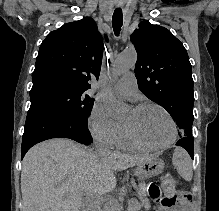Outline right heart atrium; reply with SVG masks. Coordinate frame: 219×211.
Masks as SVG:
<instances>
[{"label":"right heart atrium","mask_w":219,"mask_h":211,"mask_svg":"<svg viewBox=\"0 0 219 211\" xmlns=\"http://www.w3.org/2000/svg\"><path fill=\"white\" fill-rule=\"evenodd\" d=\"M87 121L96 141L108 147L117 143L122 125L111 117L104 105L94 103Z\"/></svg>","instance_id":"right-heart-atrium-1"}]
</instances>
